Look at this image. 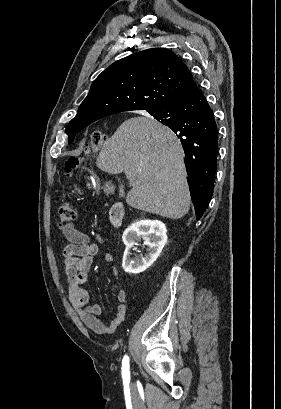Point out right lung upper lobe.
<instances>
[{
  "label": "right lung upper lobe",
  "instance_id": "obj_1",
  "mask_svg": "<svg viewBox=\"0 0 281 409\" xmlns=\"http://www.w3.org/2000/svg\"><path fill=\"white\" fill-rule=\"evenodd\" d=\"M196 90L176 54L163 48L144 50L113 63L96 78L68 127H86L124 111L164 108Z\"/></svg>",
  "mask_w": 281,
  "mask_h": 409
}]
</instances>
